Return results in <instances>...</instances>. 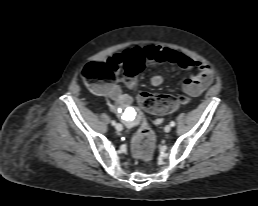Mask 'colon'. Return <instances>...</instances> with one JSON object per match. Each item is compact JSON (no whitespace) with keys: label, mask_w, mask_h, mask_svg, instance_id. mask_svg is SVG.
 I'll list each match as a JSON object with an SVG mask.
<instances>
[{"label":"colon","mask_w":258,"mask_h":206,"mask_svg":"<svg viewBox=\"0 0 258 206\" xmlns=\"http://www.w3.org/2000/svg\"><path fill=\"white\" fill-rule=\"evenodd\" d=\"M145 59L140 54L131 56L125 67L126 83L130 88L136 87L135 78L143 71ZM82 77L92 87L99 88L115 79V72L108 63L90 62L83 66ZM139 105L146 111L165 114L174 111L179 105L187 102L186 97L176 98L168 95H156L149 92H139ZM156 136L149 125L143 121L132 141V153L135 159L150 161L155 149Z\"/></svg>","instance_id":"obj_1"}]
</instances>
